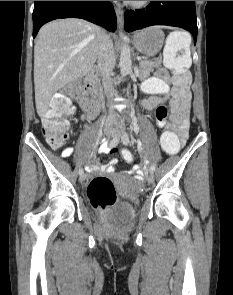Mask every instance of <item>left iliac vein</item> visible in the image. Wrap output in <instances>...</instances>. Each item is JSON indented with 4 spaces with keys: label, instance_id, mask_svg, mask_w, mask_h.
I'll use <instances>...</instances> for the list:
<instances>
[{
    "label": "left iliac vein",
    "instance_id": "1",
    "mask_svg": "<svg viewBox=\"0 0 233 295\" xmlns=\"http://www.w3.org/2000/svg\"><path fill=\"white\" fill-rule=\"evenodd\" d=\"M123 135H124L123 131H121V130H117V131H115V133L113 134V138H114V139H122ZM147 181H148V183H150V184L153 183V181H154V176H153L152 173L149 174V175L147 176Z\"/></svg>",
    "mask_w": 233,
    "mask_h": 295
}]
</instances>
